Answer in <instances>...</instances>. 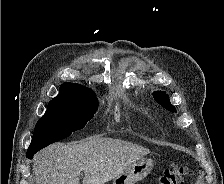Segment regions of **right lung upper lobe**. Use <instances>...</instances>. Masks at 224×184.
Wrapping results in <instances>:
<instances>
[{
    "label": "right lung upper lobe",
    "instance_id": "obj_1",
    "mask_svg": "<svg viewBox=\"0 0 224 184\" xmlns=\"http://www.w3.org/2000/svg\"><path fill=\"white\" fill-rule=\"evenodd\" d=\"M94 95L90 89L76 83H64L60 86V92L53 100H80Z\"/></svg>",
    "mask_w": 224,
    "mask_h": 184
}]
</instances>
